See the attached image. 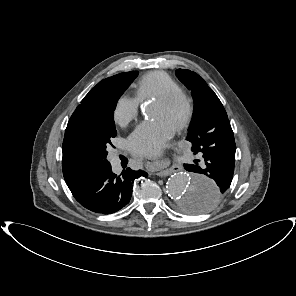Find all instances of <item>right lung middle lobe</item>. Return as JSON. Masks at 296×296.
Wrapping results in <instances>:
<instances>
[{
    "instance_id": "right-lung-middle-lobe-1",
    "label": "right lung middle lobe",
    "mask_w": 296,
    "mask_h": 296,
    "mask_svg": "<svg viewBox=\"0 0 296 296\" xmlns=\"http://www.w3.org/2000/svg\"><path fill=\"white\" fill-rule=\"evenodd\" d=\"M137 75V71L120 73L83 106V124L65 147L66 156L72 164L94 170L109 163L106 148L117 134L113 111L117 100Z\"/></svg>"
}]
</instances>
